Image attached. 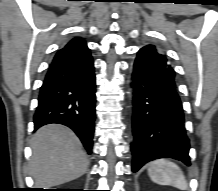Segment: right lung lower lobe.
<instances>
[{
    "label": "right lung lower lobe",
    "instance_id": "right-lung-lower-lobe-1",
    "mask_svg": "<svg viewBox=\"0 0 218 191\" xmlns=\"http://www.w3.org/2000/svg\"><path fill=\"white\" fill-rule=\"evenodd\" d=\"M95 102L93 59L86 42L74 38L56 53L48 69L34 115L35 130L50 123L66 125L91 154Z\"/></svg>",
    "mask_w": 218,
    "mask_h": 191
}]
</instances>
